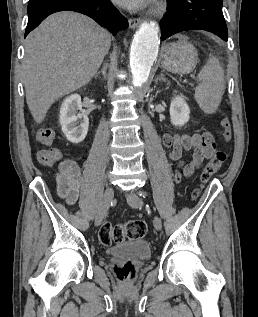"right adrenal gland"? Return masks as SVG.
Returning <instances> with one entry per match:
<instances>
[{
    "mask_svg": "<svg viewBox=\"0 0 258 317\" xmlns=\"http://www.w3.org/2000/svg\"><path fill=\"white\" fill-rule=\"evenodd\" d=\"M107 68H108V66H107L106 62H104L101 70H99V72H102V74H104L105 78L107 76V74H106ZM99 72H96L95 76H98Z\"/></svg>",
    "mask_w": 258,
    "mask_h": 317,
    "instance_id": "2a0ac1e0",
    "label": "right adrenal gland"
}]
</instances>
